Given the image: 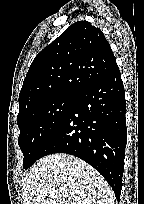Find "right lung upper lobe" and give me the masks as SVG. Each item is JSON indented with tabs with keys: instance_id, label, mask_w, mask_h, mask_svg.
Segmentation results:
<instances>
[{
	"instance_id": "right-lung-upper-lobe-1",
	"label": "right lung upper lobe",
	"mask_w": 144,
	"mask_h": 204,
	"mask_svg": "<svg viewBox=\"0 0 144 204\" xmlns=\"http://www.w3.org/2000/svg\"><path fill=\"white\" fill-rule=\"evenodd\" d=\"M116 66L103 32L78 21L33 60L19 94V114L51 97L76 95Z\"/></svg>"
}]
</instances>
